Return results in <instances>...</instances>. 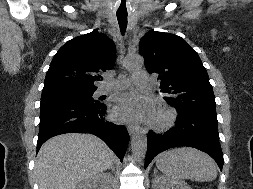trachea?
<instances>
[{"instance_id": "obj_1", "label": "trachea", "mask_w": 253, "mask_h": 189, "mask_svg": "<svg viewBox=\"0 0 253 189\" xmlns=\"http://www.w3.org/2000/svg\"><path fill=\"white\" fill-rule=\"evenodd\" d=\"M117 20L119 23L120 30L122 34L125 33L127 27V14H119L117 13Z\"/></svg>"}]
</instances>
